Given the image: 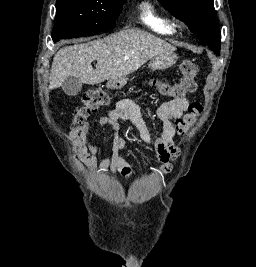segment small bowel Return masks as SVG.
<instances>
[{"label":"small bowel","mask_w":256,"mask_h":267,"mask_svg":"<svg viewBox=\"0 0 256 267\" xmlns=\"http://www.w3.org/2000/svg\"><path fill=\"white\" fill-rule=\"evenodd\" d=\"M188 106L189 100L184 97L172 99L156 109L152 116L160 123L161 128L158 134L153 135L144 124L138 105L130 98H123L101 115L95 126L84 123L72 132L71 141L80 148L81 160L91 172L110 174L118 172L123 177L129 178L133 176L134 170L122 154L126 141L120 134L119 121L131 119L141 139L156 150L161 166L155 172L167 173L179 154L174 145V138L178 133L174 119L182 118ZM105 128H108L111 133V151L106 158L98 162L96 156L99 153V144L92 140L91 135Z\"/></svg>","instance_id":"small-bowel-1"}]
</instances>
